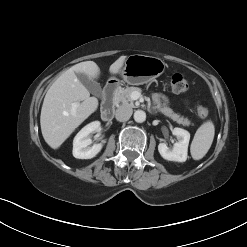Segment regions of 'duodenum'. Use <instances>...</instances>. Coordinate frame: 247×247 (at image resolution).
Masks as SVG:
<instances>
[{
  "label": "duodenum",
  "instance_id": "obj_1",
  "mask_svg": "<svg viewBox=\"0 0 247 247\" xmlns=\"http://www.w3.org/2000/svg\"><path fill=\"white\" fill-rule=\"evenodd\" d=\"M117 87L115 81H109L104 88L101 116L105 121L111 120L114 116Z\"/></svg>",
  "mask_w": 247,
  "mask_h": 247
}]
</instances>
